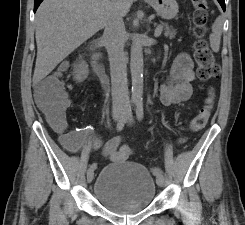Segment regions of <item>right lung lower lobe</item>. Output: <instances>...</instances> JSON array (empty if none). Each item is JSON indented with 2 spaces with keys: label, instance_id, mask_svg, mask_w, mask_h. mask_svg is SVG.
<instances>
[{
  "label": "right lung lower lobe",
  "instance_id": "right-lung-lower-lobe-1",
  "mask_svg": "<svg viewBox=\"0 0 245 225\" xmlns=\"http://www.w3.org/2000/svg\"><path fill=\"white\" fill-rule=\"evenodd\" d=\"M43 0H35L34 1V11H36V9L38 8V6L40 5V3L42 2Z\"/></svg>",
  "mask_w": 245,
  "mask_h": 225
}]
</instances>
